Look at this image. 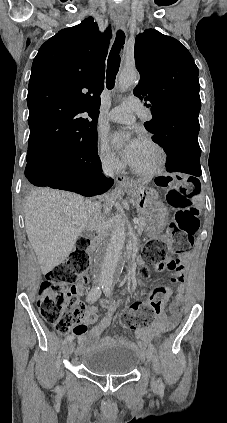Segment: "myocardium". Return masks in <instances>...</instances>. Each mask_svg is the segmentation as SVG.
<instances>
[{
    "mask_svg": "<svg viewBox=\"0 0 227 423\" xmlns=\"http://www.w3.org/2000/svg\"><path fill=\"white\" fill-rule=\"evenodd\" d=\"M143 143L153 146L158 151L159 160L154 167L148 170H141L131 165L130 166L131 171L134 174L142 176V177H153V176L161 174L166 169V166L168 164V159H169V155L165 146L162 143H160L158 140L152 137L144 139Z\"/></svg>",
    "mask_w": 227,
    "mask_h": 423,
    "instance_id": "1",
    "label": "myocardium"
}]
</instances>
